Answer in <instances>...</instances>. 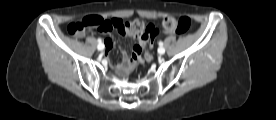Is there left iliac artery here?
Listing matches in <instances>:
<instances>
[{
  "label": "left iliac artery",
  "mask_w": 276,
  "mask_h": 120,
  "mask_svg": "<svg viewBox=\"0 0 276 120\" xmlns=\"http://www.w3.org/2000/svg\"><path fill=\"white\" fill-rule=\"evenodd\" d=\"M159 46H160V47L163 46V42H162V41L159 42Z\"/></svg>",
  "instance_id": "obj_1"
}]
</instances>
